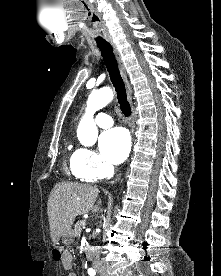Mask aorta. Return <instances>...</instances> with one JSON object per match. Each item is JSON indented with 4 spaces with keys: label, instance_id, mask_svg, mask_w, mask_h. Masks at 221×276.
I'll list each match as a JSON object with an SVG mask.
<instances>
[{
    "label": "aorta",
    "instance_id": "762f6f07",
    "mask_svg": "<svg viewBox=\"0 0 221 276\" xmlns=\"http://www.w3.org/2000/svg\"><path fill=\"white\" fill-rule=\"evenodd\" d=\"M113 97L114 93L109 87L94 91L89 95L86 112L77 128V137L82 145L92 146L96 143L98 129L93 118L94 114L109 104Z\"/></svg>",
    "mask_w": 221,
    "mask_h": 276
}]
</instances>
